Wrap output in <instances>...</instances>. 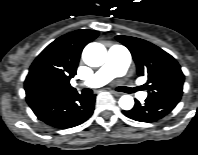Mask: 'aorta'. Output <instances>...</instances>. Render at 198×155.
<instances>
[{"instance_id": "aorta-1", "label": "aorta", "mask_w": 198, "mask_h": 155, "mask_svg": "<svg viewBox=\"0 0 198 155\" xmlns=\"http://www.w3.org/2000/svg\"><path fill=\"white\" fill-rule=\"evenodd\" d=\"M107 51L101 43H89L83 50V61L91 67H99L106 61ZM119 106L123 110H131L134 106V99L130 95H123L119 99Z\"/></svg>"}]
</instances>
